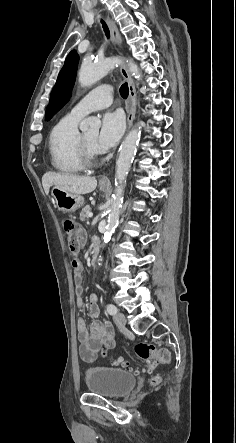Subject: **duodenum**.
Returning a JSON list of instances; mask_svg holds the SVG:
<instances>
[{"label":"duodenum","instance_id":"410a0bca","mask_svg":"<svg viewBox=\"0 0 236 443\" xmlns=\"http://www.w3.org/2000/svg\"><path fill=\"white\" fill-rule=\"evenodd\" d=\"M99 250H100L99 246H96L94 248L93 255H92V258H91L92 262L96 261V259L98 257V254H99Z\"/></svg>","mask_w":236,"mask_h":443}]
</instances>
